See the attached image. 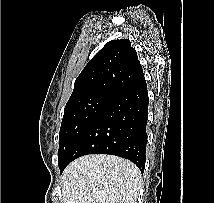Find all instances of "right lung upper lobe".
I'll list each match as a JSON object with an SVG mask.
<instances>
[{
	"instance_id": "1",
	"label": "right lung upper lobe",
	"mask_w": 214,
	"mask_h": 203,
	"mask_svg": "<svg viewBox=\"0 0 214 203\" xmlns=\"http://www.w3.org/2000/svg\"><path fill=\"white\" fill-rule=\"evenodd\" d=\"M144 81L143 69L130 41L111 40L77 77L69 101L91 94L113 97Z\"/></svg>"
}]
</instances>
